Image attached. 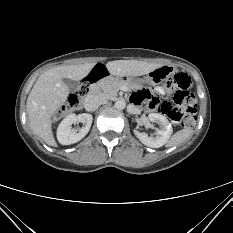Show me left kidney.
<instances>
[{
    "label": "left kidney",
    "mask_w": 233,
    "mask_h": 233,
    "mask_svg": "<svg viewBox=\"0 0 233 233\" xmlns=\"http://www.w3.org/2000/svg\"><path fill=\"white\" fill-rule=\"evenodd\" d=\"M152 123H157L159 129H156V136L149 137L146 133L134 130L136 137L146 146L152 148H159L166 144L173 132L171 123L161 114L150 113L148 115Z\"/></svg>",
    "instance_id": "1"
}]
</instances>
